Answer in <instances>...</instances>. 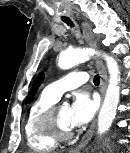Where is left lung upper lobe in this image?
I'll use <instances>...</instances> for the list:
<instances>
[{
  "instance_id": "5c2ea615",
  "label": "left lung upper lobe",
  "mask_w": 130,
  "mask_h": 153,
  "mask_svg": "<svg viewBox=\"0 0 130 153\" xmlns=\"http://www.w3.org/2000/svg\"><path fill=\"white\" fill-rule=\"evenodd\" d=\"M43 79H44V73L41 72V73L37 76V78H36V80H35V82H34L32 88H31V90H30V93H29V95H28V97H27V102H28V101L31 99V97L35 94L36 90L38 89V87H39L40 84L42 83Z\"/></svg>"
}]
</instances>
